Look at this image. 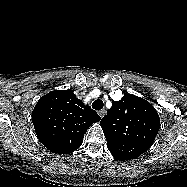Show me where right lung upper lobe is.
<instances>
[{"mask_svg":"<svg viewBox=\"0 0 187 187\" xmlns=\"http://www.w3.org/2000/svg\"><path fill=\"white\" fill-rule=\"evenodd\" d=\"M100 119L71 90H55L42 96L32 112L38 139L56 154L78 149L87 129Z\"/></svg>","mask_w":187,"mask_h":187,"instance_id":"right-lung-upper-lobe-1","label":"right lung upper lobe"}]
</instances>
